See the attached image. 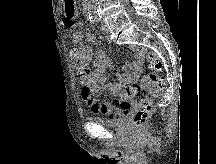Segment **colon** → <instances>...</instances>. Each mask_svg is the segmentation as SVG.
Instances as JSON below:
<instances>
[{"label": "colon", "instance_id": "5ec220e1", "mask_svg": "<svg viewBox=\"0 0 216 164\" xmlns=\"http://www.w3.org/2000/svg\"><path fill=\"white\" fill-rule=\"evenodd\" d=\"M146 61L151 72L145 75L138 83L126 85L121 91V99L128 101L132 98L141 97L149 92L157 94L165 87V80L156 75L161 71V60L152 52L146 54ZM153 105L151 100L142 99L132 116V124L137 128L143 127L152 113Z\"/></svg>", "mask_w": 216, "mask_h": 164}]
</instances>
